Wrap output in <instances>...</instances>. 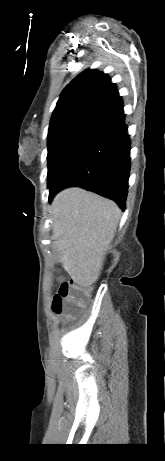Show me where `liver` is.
<instances>
[{
  "label": "liver",
  "mask_w": 165,
  "mask_h": 461,
  "mask_svg": "<svg viewBox=\"0 0 165 461\" xmlns=\"http://www.w3.org/2000/svg\"><path fill=\"white\" fill-rule=\"evenodd\" d=\"M52 240L60 262L82 286L97 281L121 216L117 204L81 188L58 193L52 204Z\"/></svg>",
  "instance_id": "obj_1"
}]
</instances>
